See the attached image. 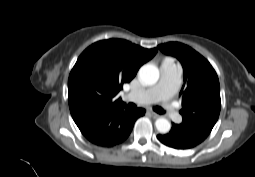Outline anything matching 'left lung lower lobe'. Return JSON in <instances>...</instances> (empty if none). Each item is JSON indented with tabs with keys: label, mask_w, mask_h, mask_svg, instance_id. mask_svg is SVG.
Wrapping results in <instances>:
<instances>
[{
	"label": "left lung lower lobe",
	"mask_w": 255,
	"mask_h": 177,
	"mask_svg": "<svg viewBox=\"0 0 255 177\" xmlns=\"http://www.w3.org/2000/svg\"><path fill=\"white\" fill-rule=\"evenodd\" d=\"M164 145L174 149H189L205 140V136L192 132L181 124L172 123V128L165 135H157Z\"/></svg>",
	"instance_id": "left-lung-lower-lobe-1"
}]
</instances>
